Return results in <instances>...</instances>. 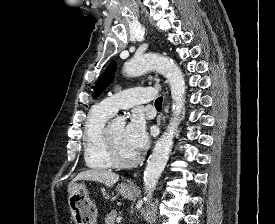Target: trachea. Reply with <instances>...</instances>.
Wrapping results in <instances>:
<instances>
[{
  "label": "trachea",
  "instance_id": "3493384b",
  "mask_svg": "<svg viewBox=\"0 0 275 224\" xmlns=\"http://www.w3.org/2000/svg\"><path fill=\"white\" fill-rule=\"evenodd\" d=\"M162 100H163L162 97L157 98L156 101H155V107L161 108L162 107Z\"/></svg>",
  "mask_w": 275,
  "mask_h": 224
}]
</instances>
